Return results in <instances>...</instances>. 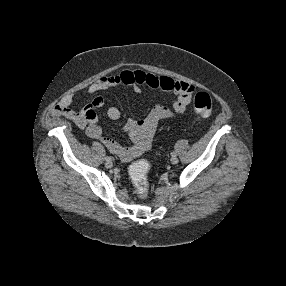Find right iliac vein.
Listing matches in <instances>:
<instances>
[{"instance_id": "right-iliac-vein-1", "label": "right iliac vein", "mask_w": 286, "mask_h": 286, "mask_svg": "<svg viewBox=\"0 0 286 286\" xmlns=\"http://www.w3.org/2000/svg\"><path fill=\"white\" fill-rule=\"evenodd\" d=\"M112 166H113V162H112V161H107V162L105 163V167H106V168H112Z\"/></svg>"}]
</instances>
